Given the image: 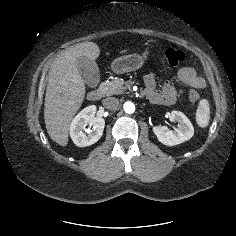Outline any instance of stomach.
<instances>
[{
  "label": "stomach",
  "mask_w": 236,
  "mask_h": 236,
  "mask_svg": "<svg viewBox=\"0 0 236 236\" xmlns=\"http://www.w3.org/2000/svg\"><path fill=\"white\" fill-rule=\"evenodd\" d=\"M149 55V49L145 48L142 54L124 55L113 60L111 69L116 74L131 72L142 67L145 59Z\"/></svg>",
  "instance_id": "0dacf381"
}]
</instances>
